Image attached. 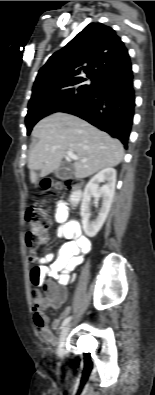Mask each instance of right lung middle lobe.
Wrapping results in <instances>:
<instances>
[{
	"label": "right lung middle lobe",
	"mask_w": 155,
	"mask_h": 395,
	"mask_svg": "<svg viewBox=\"0 0 155 395\" xmlns=\"http://www.w3.org/2000/svg\"><path fill=\"white\" fill-rule=\"evenodd\" d=\"M98 86V80H91V84H86V79H77L48 86L33 94L26 116L27 134H30L39 120L49 114L63 111L94 92Z\"/></svg>",
	"instance_id": "1"
}]
</instances>
